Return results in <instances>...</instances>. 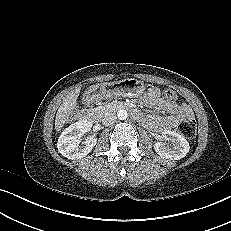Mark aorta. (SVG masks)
<instances>
[{
  "label": "aorta",
  "instance_id": "1",
  "mask_svg": "<svg viewBox=\"0 0 231 231\" xmlns=\"http://www.w3.org/2000/svg\"><path fill=\"white\" fill-rule=\"evenodd\" d=\"M118 119L120 120H126L128 117V113L126 110L122 109L117 112Z\"/></svg>",
  "mask_w": 231,
  "mask_h": 231
}]
</instances>
